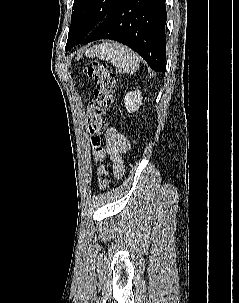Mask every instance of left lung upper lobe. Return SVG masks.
<instances>
[{"mask_svg":"<svg viewBox=\"0 0 239 303\" xmlns=\"http://www.w3.org/2000/svg\"><path fill=\"white\" fill-rule=\"evenodd\" d=\"M118 0H74L71 25L65 50L83 39L94 30L114 8Z\"/></svg>","mask_w":239,"mask_h":303,"instance_id":"obj_1","label":"left lung upper lobe"}]
</instances>
